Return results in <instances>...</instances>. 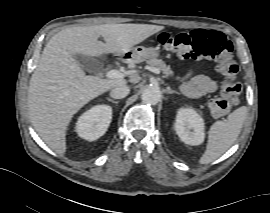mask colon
<instances>
[{"label":"colon","instance_id":"1","mask_svg":"<svg viewBox=\"0 0 270 213\" xmlns=\"http://www.w3.org/2000/svg\"><path fill=\"white\" fill-rule=\"evenodd\" d=\"M158 44L173 52L181 59H213L217 69L224 76L221 82V96L209 103L214 116H222L237 104V96L242 87L234 80L238 66L233 55V47L225 36L215 30L198 29L189 33H162Z\"/></svg>","mask_w":270,"mask_h":213}]
</instances>
